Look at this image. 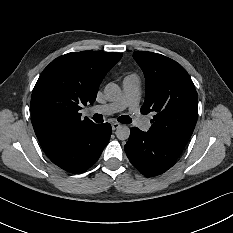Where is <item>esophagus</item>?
<instances>
[{
  "mask_svg": "<svg viewBox=\"0 0 233 233\" xmlns=\"http://www.w3.org/2000/svg\"><path fill=\"white\" fill-rule=\"evenodd\" d=\"M120 126H121V124L118 123V122L112 123V125H111L112 130H116V129H118Z\"/></svg>",
  "mask_w": 233,
  "mask_h": 233,
  "instance_id": "34e87169",
  "label": "esophagus"
}]
</instances>
